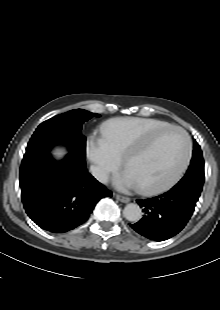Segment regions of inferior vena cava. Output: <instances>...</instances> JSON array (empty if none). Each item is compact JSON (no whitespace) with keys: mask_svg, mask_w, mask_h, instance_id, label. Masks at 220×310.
<instances>
[{"mask_svg":"<svg viewBox=\"0 0 220 310\" xmlns=\"http://www.w3.org/2000/svg\"><path fill=\"white\" fill-rule=\"evenodd\" d=\"M91 173L99 181H105L107 178V175L104 172V170L97 166H93L91 168Z\"/></svg>","mask_w":220,"mask_h":310,"instance_id":"inferior-vena-cava-1","label":"inferior vena cava"}]
</instances>
